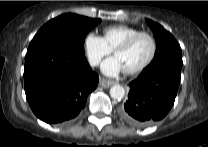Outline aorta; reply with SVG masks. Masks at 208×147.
Returning <instances> with one entry per match:
<instances>
[{
    "label": "aorta",
    "instance_id": "1",
    "mask_svg": "<svg viewBox=\"0 0 208 147\" xmlns=\"http://www.w3.org/2000/svg\"><path fill=\"white\" fill-rule=\"evenodd\" d=\"M110 96L113 99L121 100L125 96V90L121 85H114L110 88Z\"/></svg>",
    "mask_w": 208,
    "mask_h": 147
}]
</instances>
